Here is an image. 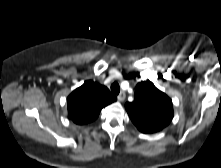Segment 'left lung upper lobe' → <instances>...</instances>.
I'll list each match as a JSON object with an SVG mask.
<instances>
[{
	"instance_id": "1",
	"label": "left lung upper lobe",
	"mask_w": 221,
	"mask_h": 168,
	"mask_svg": "<svg viewBox=\"0 0 221 168\" xmlns=\"http://www.w3.org/2000/svg\"><path fill=\"white\" fill-rule=\"evenodd\" d=\"M125 108L142 133L160 131L173 118L172 100L149 80L137 84L134 101L126 103Z\"/></svg>"
}]
</instances>
